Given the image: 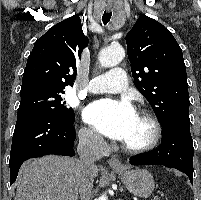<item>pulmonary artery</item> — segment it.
<instances>
[{"label": "pulmonary artery", "mask_w": 201, "mask_h": 200, "mask_svg": "<svg viewBox=\"0 0 201 200\" xmlns=\"http://www.w3.org/2000/svg\"><path fill=\"white\" fill-rule=\"evenodd\" d=\"M126 87L125 71L121 68H115L92 79L87 90L90 93H118Z\"/></svg>", "instance_id": "1"}]
</instances>
